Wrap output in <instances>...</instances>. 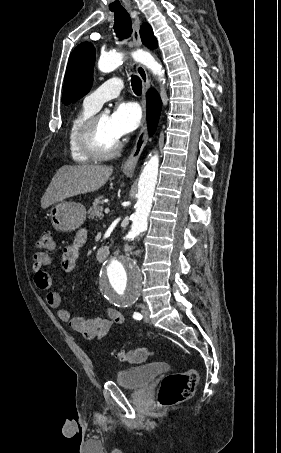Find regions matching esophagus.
I'll list each match as a JSON object with an SVG mask.
<instances>
[{"mask_svg":"<svg viewBox=\"0 0 281 453\" xmlns=\"http://www.w3.org/2000/svg\"><path fill=\"white\" fill-rule=\"evenodd\" d=\"M139 28H140V19L139 17H136L133 23V42L132 46L139 48L141 46V39L139 35ZM137 73L142 80V85H143V91L144 94L147 93V91L150 88V81L148 78L147 71L143 65L138 64L136 66ZM143 108H144V115L142 118L141 122V128L140 132L138 134L135 146L127 158L126 162L124 163L123 166V172L124 174L127 175H132L135 170V166L138 162V159L143 151V148L145 147L147 141H148V128H147V121H146V103L145 101L143 102Z\"/></svg>","mask_w":281,"mask_h":453,"instance_id":"34e87169","label":"esophagus"}]
</instances>
